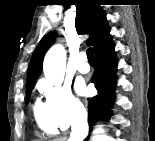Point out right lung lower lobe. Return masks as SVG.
<instances>
[{
    "label": "right lung lower lobe",
    "instance_id": "right-lung-lower-lobe-1",
    "mask_svg": "<svg viewBox=\"0 0 155 141\" xmlns=\"http://www.w3.org/2000/svg\"><path fill=\"white\" fill-rule=\"evenodd\" d=\"M115 44L110 31L105 34L93 47L97 66L92 76V82L98 90V95L88 102L89 126L92 128L96 119L109 114L110 104L115 96L116 70L118 60L115 55Z\"/></svg>",
    "mask_w": 155,
    "mask_h": 141
}]
</instances>
